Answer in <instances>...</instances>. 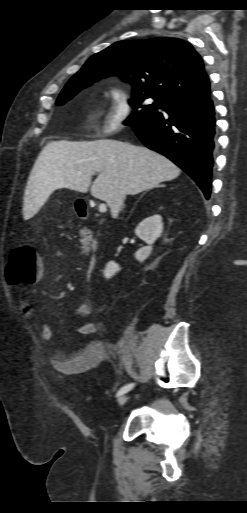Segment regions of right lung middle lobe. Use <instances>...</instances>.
<instances>
[{
	"mask_svg": "<svg viewBox=\"0 0 247 513\" xmlns=\"http://www.w3.org/2000/svg\"><path fill=\"white\" fill-rule=\"evenodd\" d=\"M89 85V81L83 82L76 79H70L63 88L62 92L60 93L56 104H64L66 101L71 99L77 92H79L81 89ZM149 97L152 96L142 95L133 91V98L129 101L130 105L134 109V112L131 116L127 118V120L124 123L125 125L135 126L150 119L157 112H159L158 109L162 107L164 102L161 99L152 97L156 102L150 105L143 104L144 100Z\"/></svg>",
	"mask_w": 247,
	"mask_h": 513,
	"instance_id": "obj_1",
	"label": "right lung middle lobe"
}]
</instances>
